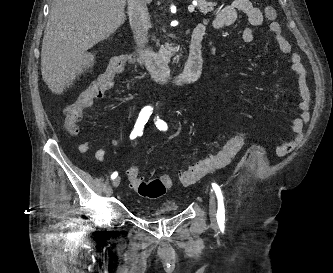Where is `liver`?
<instances>
[{"mask_svg":"<svg viewBox=\"0 0 333 273\" xmlns=\"http://www.w3.org/2000/svg\"><path fill=\"white\" fill-rule=\"evenodd\" d=\"M125 5L126 0L52 1L42 42L41 73L53 93H63L93 66L95 57L87 51L125 22Z\"/></svg>","mask_w":333,"mask_h":273,"instance_id":"6515ba94","label":"liver"}]
</instances>
